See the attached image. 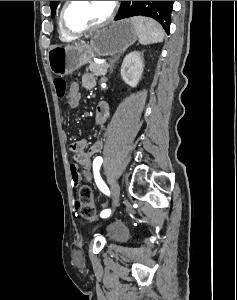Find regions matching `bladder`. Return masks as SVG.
<instances>
[{
  "mask_svg": "<svg viewBox=\"0 0 237 300\" xmlns=\"http://www.w3.org/2000/svg\"><path fill=\"white\" fill-rule=\"evenodd\" d=\"M127 236L126 228L120 223H114L106 228V237L110 241H121Z\"/></svg>",
  "mask_w": 237,
  "mask_h": 300,
  "instance_id": "obj_1",
  "label": "bladder"
}]
</instances>
